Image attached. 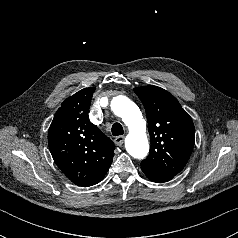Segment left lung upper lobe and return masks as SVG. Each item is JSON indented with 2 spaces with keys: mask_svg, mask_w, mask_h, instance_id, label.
Wrapping results in <instances>:
<instances>
[{
  "mask_svg": "<svg viewBox=\"0 0 238 238\" xmlns=\"http://www.w3.org/2000/svg\"><path fill=\"white\" fill-rule=\"evenodd\" d=\"M146 110L151 150L141 162L156 172L176 175L185 167L194 147L195 128L178 100L157 86L134 88Z\"/></svg>",
  "mask_w": 238,
  "mask_h": 238,
  "instance_id": "5c2ea615",
  "label": "left lung upper lobe"
}]
</instances>
